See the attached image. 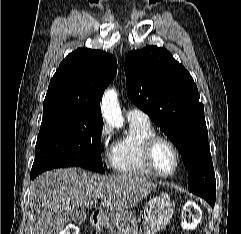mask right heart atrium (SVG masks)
Returning a JSON list of instances; mask_svg holds the SVG:
<instances>
[{
	"label": "right heart atrium",
	"instance_id": "1",
	"mask_svg": "<svg viewBox=\"0 0 241 234\" xmlns=\"http://www.w3.org/2000/svg\"><path fill=\"white\" fill-rule=\"evenodd\" d=\"M112 133L113 132H112L111 127L108 126L107 124H104L99 131L98 142H99V145L104 150L107 149L108 143L112 137Z\"/></svg>",
	"mask_w": 241,
	"mask_h": 234
}]
</instances>
